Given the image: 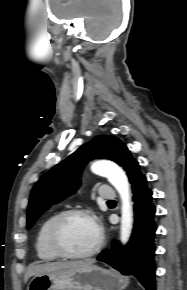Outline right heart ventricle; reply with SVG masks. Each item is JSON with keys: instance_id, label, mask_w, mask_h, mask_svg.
<instances>
[{"instance_id": "e07e8e85", "label": "right heart ventricle", "mask_w": 187, "mask_h": 290, "mask_svg": "<svg viewBox=\"0 0 187 290\" xmlns=\"http://www.w3.org/2000/svg\"><path fill=\"white\" fill-rule=\"evenodd\" d=\"M59 214L60 213L57 212L47 217L43 221V223L41 224L38 230L36 241H35V250H36L38 258L43 261H54L59 258V256H57L50 248L49 240H48V233H49L51 224L53 223V221Z\"/></svg>"}]
</instances>
